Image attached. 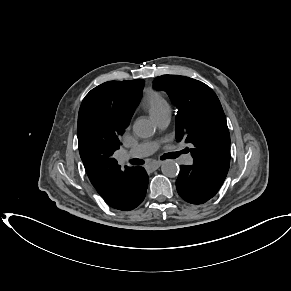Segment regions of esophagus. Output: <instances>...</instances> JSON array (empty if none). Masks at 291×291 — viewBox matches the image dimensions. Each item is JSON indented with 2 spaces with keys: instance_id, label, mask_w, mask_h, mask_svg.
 <instances>
[{
  "instance_id": "obj_1",
  "label": "esophagus",
  "mask_w": 291,
  "mask_h": 291,
  "mask_svg": "<svg viewBox=\"0 0 291 291\" xmlns=\"http://www.w3.org/2000/svg\"><path fill=\"white\" fill-rule=\"evenodd\" d=\"M161 164H162V162L155 161V162L149 164L147 167H148V169L155 170V169L159 168L161 166Z\"/></svg>"
}]
</instances>
